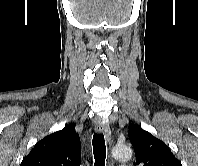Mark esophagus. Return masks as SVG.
<instances>
[{
    "label": "esophagus",
    "mask_w": 198,
    "mask_h": 166,
    "mask_svg": "<svg viewBox=\"0 0 198 166\" xmlns=\"http://www.w3.org/2000/svg\"><path fill=\"white\" fill-rule=\"evenodd\" d=\"M95 130L98 133H103L106 136L107 141L111 144V130L107 123L105 122H98L95 126Z\"/></svg>",
    "instance_id": "esophagus-1"
}]
</instances>
